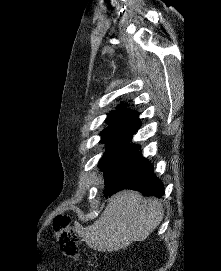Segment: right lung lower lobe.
Wrapping results in <instances>:
<instances>
[{
  "label": "right lung lower lobe",
  "instance_id": "1",
  "mask_svg": "<svg viewBox=\"0 0 221 271\" xmlns=\"http://www.w3.org/2000/svg\"><path fill=\"white\" fill-rule=\"evenodd\" d=\"M105 196L124 189L139 191L143 196L161 198L164 185L154 174L152 164L141 156L139 149L125 161L104 171Z\"/></svg>",
  "mask_w": 221,
  "mask_h": 271
}]
</instances>
